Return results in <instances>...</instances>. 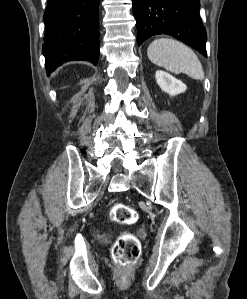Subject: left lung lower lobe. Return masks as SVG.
<instances>
[{"mask_svg":"<svg viewBox=\"0 0 247 299\" xmlns=\"http://www.w3.org/2000/svg\"><path fill=\"white\" fill-rule=\"evenodd\" d=\"M199 8V0H133L138 45L153 35L167 34L206 57L207 34Z\"/></svg>","mask_w":247,"mask_h":299,"instance_id":"1","label":"left lung lower lobe"}]
</instances>
